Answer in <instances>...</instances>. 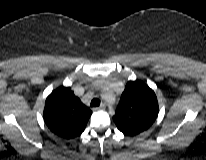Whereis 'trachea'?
<instances>
[{
    "label": "trachea",
    "mask_w": 206,
    "mask_h": 160,
    "mask_svg": "<svg viewBox=\"0 0 206 160\" xmlns=\"http://www.w3.org/2000/svg\"><path fill=\"white\" fill-rule=\"evenodd\" d=\"M99 105H100L99 99L94 98V99L91 101V106H92V107H98Z\"/></svg>",
    "instance_id": "3493384b"
}]
</instances>
